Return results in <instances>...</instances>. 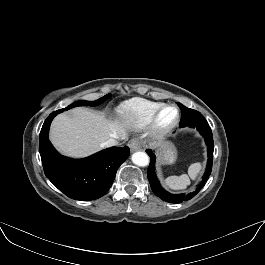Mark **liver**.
Masks as SVG:
<instances>
[{
	"label": "liver",
	"mask_w": 265,
	"mask_h": 265,
	"mask_svg": "<svg viewBox=\"0 0 265 265\" xmlns=\"http://www.w3.org/2000/svg\"><path fill=\"white\" fill-rule=\"evenodd\" d=\"M127 125L86 108L77 107L58 115L52 122L50 140L64 155L81 158L102 148L109 138H124Z\"/></svg>",
	"instance_id": "obj_1"
}]
</instances>
